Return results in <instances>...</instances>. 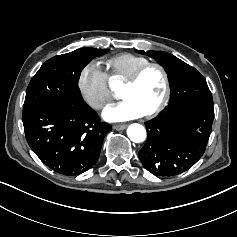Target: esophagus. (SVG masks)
I'll return each mask as SVG.
<instances>
[{"label":"esophagus","instance_id":"1","mask_svg":"<svg viewBox=\"0 0 237 237\" xmlns=\"http://www.w3.org/2000/svg\"><path fill=\"white\" fill-rule=\"evenodd\" d=\"M127 127V124H116L113 125V129L115 130H124Z\"/></svg>","mask_w":237,"mask_h":237}]
</instances>
